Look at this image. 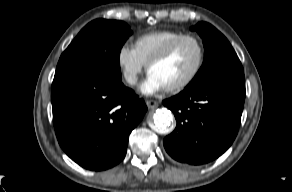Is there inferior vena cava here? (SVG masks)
I'll use <instances>...</instances> for the list:
<instances>
[{"label":"inferior vena cava","instance_id":"1","mask_svg":"<svg viewBox=\"0 0 292 192\" xmlns=\"http://www.w3.org/2000/svg\"><path fill=\"white\" fill-rule=\"evenodd\" d=\"M136 81H137V78H136V77H130V78L128 79V83H129V84H135Z\"/></svg>","mask_w":292,"mask_h":192}]
</instances>
